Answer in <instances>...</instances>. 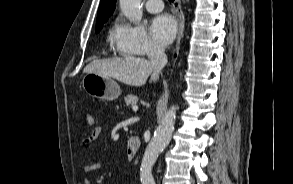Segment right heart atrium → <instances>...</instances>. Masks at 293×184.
<instances>
[{"instance_id": "d8ad5b80", "label": "right heart atrium", "mask_w": 293, "mask_h": 184, "mask_svg": "<svg viewBox=\"0 0 293 184\" xmlns=\"http://www.w3.org/2000/svg\"><path fill=\"white\" fill-rule=\"evenodd\" d=\"M113 43L116 51L122 55L151 56L162 52L141 25H133L119 19L115 26Z\"/></svg>"}]
</instances>
